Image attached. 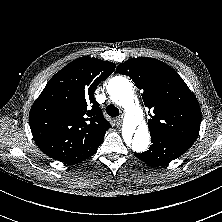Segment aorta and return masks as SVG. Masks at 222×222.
Listing matches in <instances>:
<instances>
[{
    "label": "aorta",
    "mask_w": 222,
    "mask_h": 222,
    "mask_svg": "<svg viewBox=\"0 0 222 222\" xmlns=\"http://www.w3.org/2000/svg\"><path fill=\"white\" fill-rule=\"evenodd\" d=\"M107 90L112 101L126 111L122 129L125 143L135 152H144L150 144V134L147 124L142 119V111L134 102L132 84L128 79L116 76L110 80Z\"/></svg>",
    "instance_id": "762f6f07"
}]
</instances>
